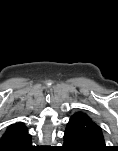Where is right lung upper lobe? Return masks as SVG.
<instances>
[{
  "instance_id": "1",
  "label": "right lung upper lobe",
  "mask_w": 118,
  "mask_h": 151,
  "mask_svg": "<svg viewBox=\"0 0 118 151\" xmlns=\"http://www.w3.org/2000/svg\"><path fill=\"white\" fill-rule=\"evenodd\" d=\"M31 136L28 129L22 122L10 125L0 139V151H14L28 141Z\"/></svg>"
}]
</instances>
